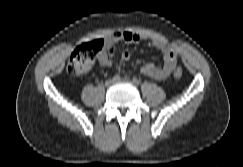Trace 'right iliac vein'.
Segmentation results:
<instances>
[{
	"label": "right iliac vein",
	"mask_w": 243,
	"mask_h": 167,
	"mask_svg": "<svg viewBox=\"0 0 243 167\" xmlns=\"http://www.w3.org/2000/svg\"><path fill=\"white\" fill-rule=\"evenodd\" d=\"M113 84H114V81L111 80V79H109V80H107V81L105 82V87L109 88V87H111Z\"/></svg>",
	"instance_id": "1"
}]
</instances>
